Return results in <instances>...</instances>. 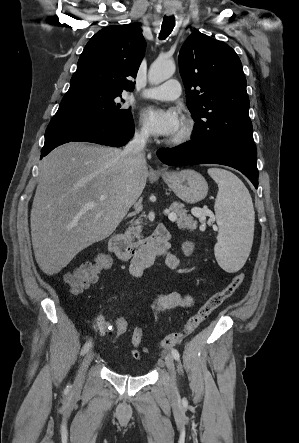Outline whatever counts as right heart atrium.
I'll return each instance as SVG.
<instances>
[{
  "label": "right heart atrium",
  "instance_id": "right-heart-atrium-1",
  "mask_svg": "<svg viewBox=\"0 0 299 443\" xmlns=\"http://www.w3.org/2000/svg\"><path fill=\"white\" fill-rule=\"evenodd\" d=\"M135 135L140 140H146L149 137V133L144 127L137 129Z\"/></svg>",
  "mask_w": 299,
  "mask_h": 443
}]
</instances>
